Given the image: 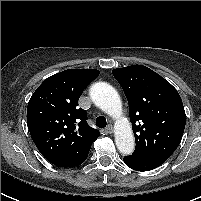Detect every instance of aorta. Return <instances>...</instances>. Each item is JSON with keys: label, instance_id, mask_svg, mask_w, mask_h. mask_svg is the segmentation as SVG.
I'll return each instance as SVG.
<instances>
[{"label": "aorta", "instance_id": "aorta-1", "mask_svg": "<svg viewBox=\"0 0 201 201\" xmlns=\"http://www.w3.org/2000/svg\"><path fill=\"white\" fill-rule=\"evenodd\" d=\"M93 103L116 119L115 143L120 153L130 155L135 149L131 124L122 117V103L118 92L110 84L97 82L90 88Z\"/></svg>", "mask_w": 201, "mask_h": 201}]
</instances>
